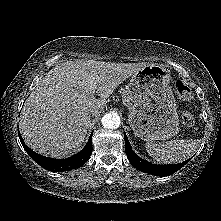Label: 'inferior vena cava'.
<instances>
[{
	"label": "inferior vena cava",
	"mask_w": 221,
	"mask_h": 221,
	"mask_svg": "<svg viewBox=\"0 0 221 221\" xmlns=\"http://www.w3.org/2000/svg\"><path fill=\"white\" fill-rule=\"evenodd\" d=\"M99 114V110L98 109H92L91 111H90V115L91 116H96V115H98Z\"/></svg>",
	"instance_id": "1"
}]
</instances>
